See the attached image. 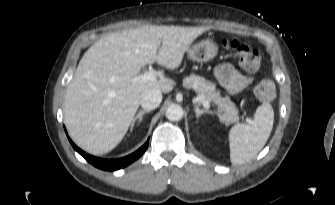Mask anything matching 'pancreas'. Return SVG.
<instances>
[{
	"label": "pancreas",
	"mask_w": 335,
	"mask_h": 205,
	"mask_svg": "<svg viewBox=\"0 0 335 205\" xmlns=\"http://www.w3.org/2000/svg\"><path fill=\"white\" fill-rule=\"evenodd\" d=\"M183 86L187 89H194L198 94L203 96L204 100L216 104L218 106V111L222 112L221 118L226 124L239 121L236 105L228 96L221 97L220 92L216 90L214 83L206 80L204 77L191 74L184 78Z\"/></svg>",
	"instance_id": "obj_1"
}]
</instances>
